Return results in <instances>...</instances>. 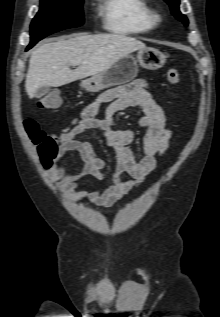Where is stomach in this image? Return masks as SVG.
I'll list each match as a JSON object with an SVG mask.
<instances>
[{"label":"stomach","instance_id":"1","mask_svg":"<svg viewBox=\"0 0 220 317\" xmlns=\"http://www.w3.org/2000/svg\"><path fill=\"white\" fill-rule=\"evenodd\" d=\"M166 62V56L157 49H140L136 57L126 55L114 63L109 69L82 80L81 88L88 92H98L115 85L132 81L138 74L139 66L156 70Z\"/></svg>","mask_w":220,"mask_h":317}]
</instances>
